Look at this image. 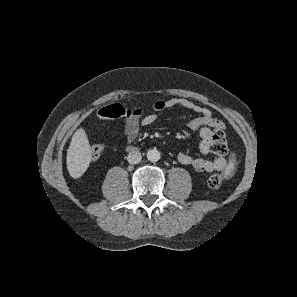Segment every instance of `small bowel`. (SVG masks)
<instances>
[{"label": "small bowel", "instance_id": "small-bowel-1", "mask_svg": "<svg viewBox=\"0 0 297 297\" xmlns=\"http://www.w3.org/2000/svg\"><path fill=\"white\" fill-rule=\"evenodd\" d=\"M175 107H181L191 110L198 116L187 122V128L191 131L198 132L200 136L199 152L206 155L211 151L214 129L219 127L223 130V124L212 116L211 111L195 102L186 98H171L167 100H156L152 103V112L145 114L144 109L131 116L125 117L123 122L124 135L127 142H132L138 135L140 126H149L154 123L158 114L162 111ZM178 160L183 165H188L195 170L207 173L224 171L228 166L225 157H217L214 159H206L203 157H193L187 153L178 154Z\"/></svg>", "mask_w": 297, "mask_h": 297}]
</instances>
